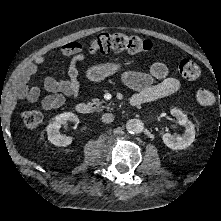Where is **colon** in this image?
<instances>
[{"label":"colon","instance_id":"colon-1","mask_svg":"<svg viewBox=\"0 0 221 221\" xmlns=\"http://www.w3.org/2000/svg\"><path fill=\"white\" fill-rule=\"evenodd\" d=\"M152 49L149 40L138 36H128L121 33L100 34L89 44V51L95 54L127 51L129 53H147ZM178 72L186 80H195L200 76V67L192 59L179 62ZM196 100L202 106H211L216 102V96L207 89H200L196 93ZM22 123L27 128H35L42 122L43 116L39 110H27L21 115Z\"/></svg>","mask_w":221,"mask_h":221}]
</instances>
